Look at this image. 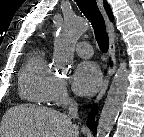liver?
Instances as JSON below:
<instances>
[{"label":"liver","instance_id":"obj_1","mask_svg":"<svg viewBox=\"0 0 144 137\" xmlns=\"http://www.w3.org/2000/svg\"><path fill=\"white\" fill-rule=\"evenodd\" d=\"M71 117L48 107L23 104L2 117L0 137H78Z\"/></svg>","mask_w":144,"mask_h":137}]
</instances>
